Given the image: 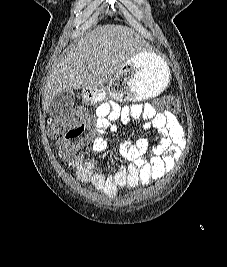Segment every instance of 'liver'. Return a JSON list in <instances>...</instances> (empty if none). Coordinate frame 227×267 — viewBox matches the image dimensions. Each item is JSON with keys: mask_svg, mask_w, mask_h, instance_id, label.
I'll return each mask as SVG.
<instances>
[{"mask_svg": "<svg viewBox=\"0 0 227 267\" xmlns=\"http://www.w3.org/2000/svg\"><path fill=\"white\" fill-rule=\"evenodd\" d=\"M145 42L134 30L122 25H104L82 37L50 73L42 100L48 110L52 99L66 90L109 83Z\"/></svg>", "mask_w": 227, "mask_h": 267, "instance_id": "liver-1", "label": "liver"}]
</instances>
